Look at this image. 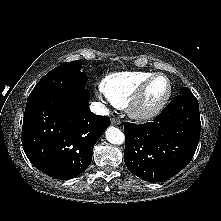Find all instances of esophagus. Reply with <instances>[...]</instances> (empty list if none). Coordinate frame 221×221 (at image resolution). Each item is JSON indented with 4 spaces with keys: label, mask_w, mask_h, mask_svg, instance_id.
<instances>
[{
    "label": "esophagus",
    "mask_w": 221,
    "mask_h": 221,
    "mask_svg": "<svg viewBox=\"0 0 221 221\" xmlns=\"http://www.w3.org/2000/svg\"><path fill=\"white\" fill-rule=\"evenodd\" d=\"M111 123L113 125H120L121 124V120L116 118V117H114V118L111 119Z\"/></svg>",
    "instance_id": "esophagus-1"
}]
</instances>
